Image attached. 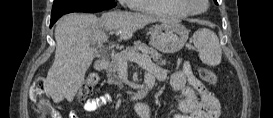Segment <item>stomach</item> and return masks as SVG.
<instances>
[{
    "label": "stomach",
    "mask_w": 273,
    "mask_h": 118,
    "mask_svg": "<svg viewBox=\"0 0 273 118\" xmlns=\"http://www.w3.org/2000/svg\"><path fill=\"white\" fill-rule=\"evenodd\" d=\"M188 30L179 22L164 21L151 30V45L163 53H175L186 43Z\"/></svg>",
    "instance_id": "0dacf381"
}]
</instances>
